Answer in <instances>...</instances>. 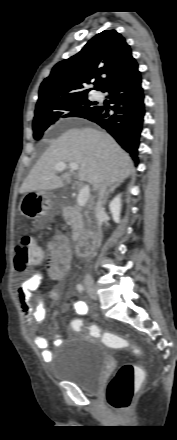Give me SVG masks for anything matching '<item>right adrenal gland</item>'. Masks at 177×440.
<instances>
[{"instance_id": "1", "label": "right adrenal gland", "mask_w": 177, "mask_h": 440, "mask_svg": "<svg viewBox=\"0 0 177 440\" xmlns=\"http://www.w3.org/2000/svg\"><path fill=\"white\" fill-rule=\"evenodd\" d=\"M121 183L122 182H117L110 187V189L107 192L106 199L109 198V194L113 193L115 191V189L121 185Z\"/></svg>"}]
</instances>
